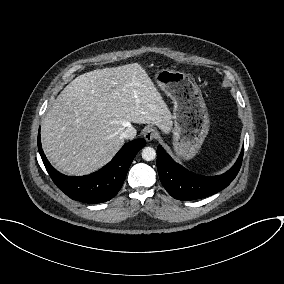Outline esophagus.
<instances>
[{"label":"esophagus","mask_w":284,"mask_h":284,"mask_svg":"<svg viewBox=\"0 0 284 284\" xmlns=\"http://www.w3.org/2000/svg\"><path fill=\"white\" fill-rule=\"evenodd\" d=\"M157 131L155 128L152 127H147L144 130V138L146 141L150 142L152 140H154L157 137Z\"/></svg>","instance_id":"obj_1"}]
</instances>
